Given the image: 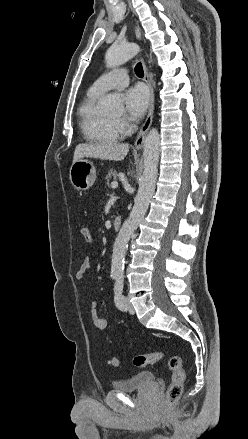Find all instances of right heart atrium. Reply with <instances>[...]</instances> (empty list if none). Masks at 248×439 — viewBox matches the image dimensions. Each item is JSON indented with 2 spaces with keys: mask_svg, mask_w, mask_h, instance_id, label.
<instances>
[{
  "mask_svg": "<svg viewBox=\"0 0 248 439\" xmlns=\"http://www.w3.org/2000/svg\"><path fill=\"white\" fill-rule=\"evenodd\" d=\"M119 127L123 130V132L128 128V124L123 121V120H119L117 121Z\"/></svg>",
  "mask_w": 248,
  "mask_h": 439,
  "instance_id": "obj_1",
  "label": "right heart atrium"
}]
</instances>
